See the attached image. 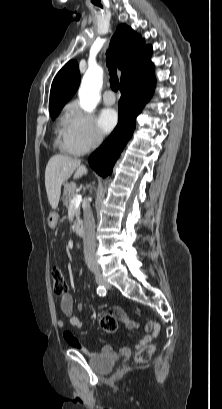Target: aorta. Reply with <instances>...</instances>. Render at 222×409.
Masks as SVG:
<instances>
[{"instance_id": "aorta-1", "label": "aorta", "mask_w": 222, "mask_h": 409, "mask_svg": "<svg viewBox=\"0 0 222 409\" xmlns=\"http://www.w3.org/2000/svg\"><path fill=\"white\" fill-rule=\"evenodd\" d=\"M103 70L98 66H90L86 71L79 89L80 107L86 112H92L99 100L102 87Z\"/></svg>"}]
</instances>
